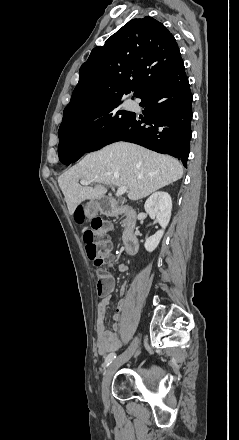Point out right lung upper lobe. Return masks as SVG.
I'll return each mask as SVG.
<instances>
[{"label":"right lung upper lobe","instance_id":"1","mask_svg":"<svg viewBox=\"0 0 239 440\" xmlns=\"http://www.w3.org/2000/svg\"><path fill=\"white\" fill-rule=\"evenodd\" d=\"M181 60L175 38L162 23L149 16L130 20L82 64L62 122L112 99L140 96Z\"/></svg>","mask_w":239,"mask_h":440}]
</instances>
